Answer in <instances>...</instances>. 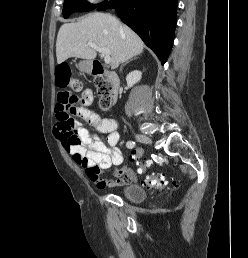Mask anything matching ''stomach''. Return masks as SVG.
Instances as JSON below:
<instances>
[{"label":"stomach","mask_w":248,"mask_h":258,"mask_svg":"<svg viewBox=\"0 0 248 258\" xmlns=\"http://www.w3.org/2000/svg\"><path fill=\"white\" fill-rule=\"evenodd\" d=\"M78 68L86 73H91L92 72V63L90 61H81L78 64Z\"/></svg>","instance_id":"stomach-1"}]
</instances>
